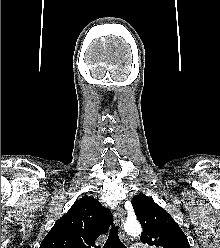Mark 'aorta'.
I'll use <instances>...</instances> for the list:
<instances>
[{
    "label": "aorta",
    "instance_id": "1",
    "mask_svg": "<svg viewBox=\"0 0 220 248\" xmlns=\"http://www.w3.org/2000/svg\"><path fill=\"white\" fill-rule=\"evenodd\" d=\"M124 230L129 235L138 236L141 234L142 228L137 220H127L124 224Z\"/></svg>",
    "mask_w": 220,
    "mask_h": 248
}]
</instances>
